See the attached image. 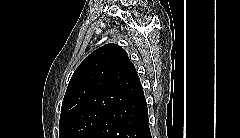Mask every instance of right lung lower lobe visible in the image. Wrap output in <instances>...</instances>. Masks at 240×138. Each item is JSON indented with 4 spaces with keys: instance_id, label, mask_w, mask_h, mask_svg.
Wrapping results in <instances>:
<instances>
[{
    "instance_id": "98d812e1",
    "label": "right lung lower lobe",
    "mask_w": 240,
    "mask_h": 138,
    "mask_svg": "<svg viewBox=\"0 0 240 138\" xmlns=\"http://www.w3.org/2000/svg\"><path fill=\"white\" fill-rule=\"evenodd\" d=\"M86 138H151L144 93L108 112Z\"/></svg>"
}]
</instances>
